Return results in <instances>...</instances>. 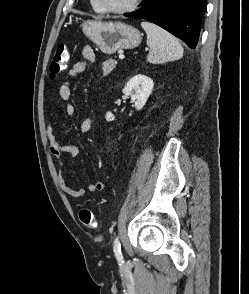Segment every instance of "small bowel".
<instances>
[{"mask_svg":"<svg viewBox=\"0 0 249 294\" xmlns=\"http://www.w3.org/2000/svg\"><path fill=\"white\" fill-rule=\"evenodd\" d=\"M81 55L84 61L77 62L68 71V76L70 78L76 77L78 74L85 71L87 67V62H94L96 60V54L90 46H85L81 50ZM59 96L63 101L69 100L71 96L70 82L68 80L64 81L59 88ZM65 111L67 115L74 116L76 113V108L73 104L67 103L65 105ZM93 120L91 118L84 119L80 124V131L82 133H87L92 129ZM46 136L51 154L57 163V177L59 186L63 192L73 198H79L85 195L86 191L89 193L100 192L105 189L106 185L102 181L94 182L88 184L87 188L83 187H71L68 185L65 178V162L67 159L76 158L79 155V148L71 144L61 143L54 131V124L51 118L48 119L46 125Z\"/></svg>","mask_w":249,"mask_h":294,"instance_id":"c3829d8e","label":"small bowel"}]
</instances>
